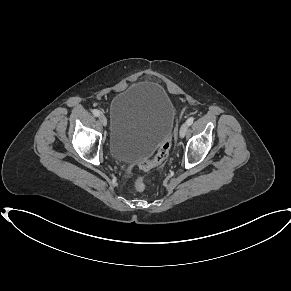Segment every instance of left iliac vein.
Wrapping results in <instances>:
<instances>
[{
    "label": "left iliac vein",
    "mask_w": 291,
    "mask_h": 291,
    "mask_svg": "<svg viewBox=\"0 0 291 291\" xmlns=\"http://www.w3.org/2000/svg\"><path fill=\"white\" fill-rule=\"evenodd\" d=\"M188 126L189 125L187 123L182 124V126L180 128V132H179L181 138H183L186 135V132L188 130Z\"/></svg>",
    "instance_id": "1"
}]
</instances>
